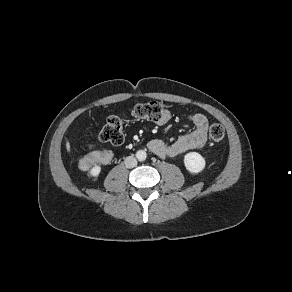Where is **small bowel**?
<instances>
[{"instance_id":"c3829d8e","label":"small bowel","mask_w":292,"mask_h":292,"mask_svg":"<svg viewBox=\"0 0 292 292\" xmlns=\"http://www.w3.org/2000/svg\"><path fill=\"white\" fill-rule=\"evenodd\" d=\"M170 119V113L165 110L163 117L157 122L164 125ZM188 121L193 125L191 132L179 137L173 143H167L163 139H153L149 143V149L161 158L178 157L198 148L207 142L208 120L200 113L188 116Z\"/></svg>"}]
</instances>
